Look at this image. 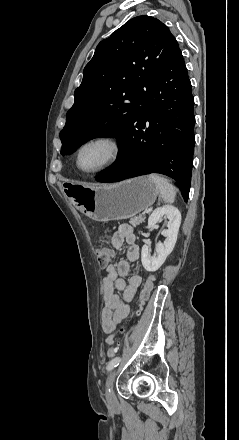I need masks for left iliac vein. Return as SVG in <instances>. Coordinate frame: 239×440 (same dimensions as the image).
Instances as JSON below:
<instances>
[{"mask_svg": "<svg viewBox=\"0 0 239 440\" xmlns=\"http://www.w3.org/2000/svg\"><path fill=\"white\" fill-rule=\"evenodd\" d=\"M115 375H116L115 371H112L110 373V375L108 376L107 382H106V394L105 395H106L108 405L111 407H115L117 404L116 397L113 392V384H114V380H115Z\"/></svg>", "mask_w": 239, "mask_h": 440, "instance_id": "1", "label": "left iliac vein"}]
</instances>
